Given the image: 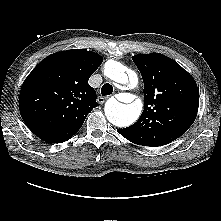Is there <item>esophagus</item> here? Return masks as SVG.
Returning a JSON list of instances; mask_svg holds the SVG:
<instances>
[{
  "label": "esophagus",
  "mask_w": 221,
  "mask_h": 221,
  "mask_svg": "<svg viewBox=\"0 0 221 221\" xmlns=\"http://www.w3.org/2000/svg\"><path fill=\"white\" fill-rule=\"evenodd\" d=\"M107 98L108 97L100 96V97H98L97 101H98L99 104H103L106 101Z\"/></svg>",
  "instance_id": "obj_1"
}]
</instances>
